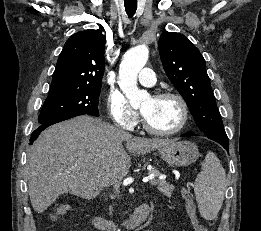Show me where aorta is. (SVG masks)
<instances>
[{"instance_id": "1", "label": "aorta", "mask_w": 261, "mask_h": 231, "mask_svg": "<svg viewBox=\"0 0 261 231\" xmlns=\"http://www.w3.org/2000/svg\"><path fill=\"white\" fill-rule=\"evenodd\" d=\"M149 50L145 45L128 50L119 67V86L132 107L149 98L145 90L137 86V76L148 60ZM118 231H120L118 229Z\"/></svg>"}]
</instances>
